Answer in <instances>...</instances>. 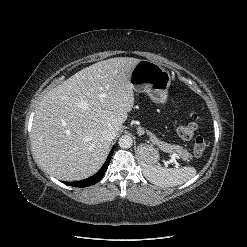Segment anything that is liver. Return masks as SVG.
Here are the masks:
<instances>
[{
    "mask_svg": "<svg viewBox=\"0 0 247 247\" xmlns=\"http://www.w3.org/2000/svg\"><path fill=\"white\" fill-rule=\"evenodd\" d=\"M140 62L116 57L86 67L50 90L35 111L31 139L39 166L49 175L76 181L103 165L111 141L134 106L130 76Z\"/></svg>",
    "mask_w": 247,
    "mask_h": 247,
    "instance_id": "liver-1",
    "label": "liver"
}]
</instances>
